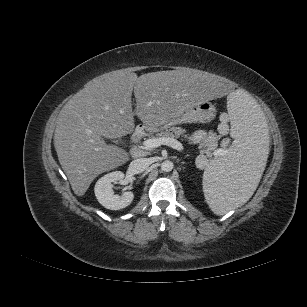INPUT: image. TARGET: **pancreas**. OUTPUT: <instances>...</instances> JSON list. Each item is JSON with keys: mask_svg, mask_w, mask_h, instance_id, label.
I'll use <instances>...</instances> for the list:
<instances>
[{"mask_svg": "<svg viewBox=\"0 0 307 307\" xmlns=\"http://www.w3.org/2000/svg\"><path fill=\"white\" fill-rule=\"evenodd\" d=\"M186 130L181 127H170L169 129H165V131H162L160 133H157L154 138H163V137H171V138H180L184 137L185 139L188 137L185 135ZM217 147V142L215 140H212L209 144H201L199 146L201 150V153H205L207 155H211L212 151L215 150Z\"/></svg>", "mask_w": 307, "mask_h": 307, "instance_id": "obj_1", "label": "pancreas"}]
</instances>
